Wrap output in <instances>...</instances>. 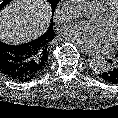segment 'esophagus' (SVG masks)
<instances>
[{"label":"esophagus","mask_w":118,"mask_h":118,"mask_svg":"<svg viewBox=\"0 0 118 118\" xmlns=\"http://www.w3.org/2000/svg\"><path fill=\"white\" fill-rule=\"evenodd\" d=\"M82 53H84L85 55H87L89 57H93L95 55L94 52L88 51V50H85V49H82Z\"/></svg>","instance_id":"1"}]
</instances>
